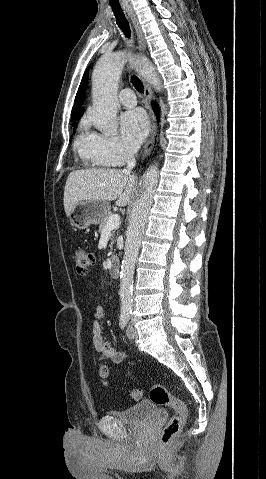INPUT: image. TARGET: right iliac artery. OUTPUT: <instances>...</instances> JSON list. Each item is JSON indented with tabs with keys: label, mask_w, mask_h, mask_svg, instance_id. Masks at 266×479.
Returning a JSON list of instances; mask_svg holds the SVG:
<instances>
[{
	"label": "right iliac artery",
	"mask_w": 266,
	"mask_h": 479,
	"mask_svg": "<svg viewBox=\"0 0 266 479\" xmlns=\"http://www.w3.org/2000/svg\"><path fill=\"white\" fill-rule=\"evenodd\" d=\"M129 321V315L128 314H122L119 319V325L121 328H124Z\"/></svg>",
	"instance_id": "obj_1"
}]
</instances>
